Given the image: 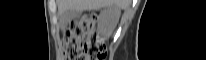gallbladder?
I'll return each mask as SVG.
<instances>
[{"instance_id": "1", "label": "gallbladder", "mask_w": 206, "mask_h": 60, "mask_svg": "<svg viewBox=\"0 0 206 60\" xmlns=\"http://www.w3.org/2000/svg\"><path fill=\"white\" fill-rule=\"evenodd\" d=\"M82 11L77 10H67L60 15V22L63 26L68 24L72 19H77L80 17Z\"/></svg>"}]
</instances>
